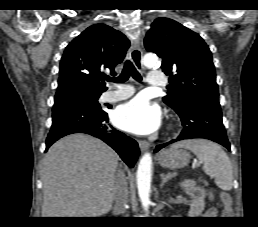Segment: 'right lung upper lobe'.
I'll use <instances>...</instances> for the list:
<instances>
[{
  "instance_id": "obj_1",
  "label": "right lung upper lobe",
  "mask_w": 258,
  "mask_h": 227,
  "mask_svg": "<svg viewBox=\"0 0 258 227\" xmlns=\"http://www.w3.org/2000/svg\"><path fill=\"white\" fill-rule=\"evenodd\" d=\"M130 46L120 32L105 24H94L65 49L60 63L57 92L80 88L103 92L105 71L114 74Z\"/></svg>"
}]
</instances>
